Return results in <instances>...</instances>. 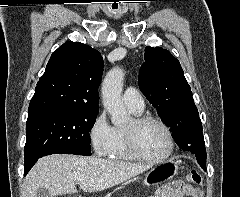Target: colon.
Segmentation results:
<instances>
[{
	"mask_svg": "<svg viewBox=\"0 0 240 197\" xmlns=\"http://www.w3.org/2000/svg\"><path fill=\"white\" fill-rule=\"evenodd\" d=\"M187 180L195 185H200L202 184V175L196 171V170H191L187 174ZM158 197H166V191L165 190H160L158 192Z\"/></svg>",
	"mask_w": 240,
	"mask_h": 197,
	"instance_id": "1",
	"label": "colon"
}]
</instances>
